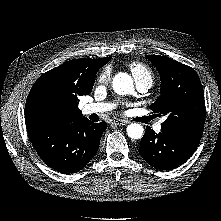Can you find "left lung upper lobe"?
Returning a JSON list of instances; mask_svg holds the SVG:
<instances>
[{
    "label": "left lung upper lobe",
    "mask_w": 221,
    "mask_h": 221,
    "mask_svg": "<svg viewBox=\"0 0 221 221\" xmlns=\"http://www.w3.org/2000/svg\"><path fill=\"white\" fill-rule=\"evenodd\" d=\"M161 76V94L150 109L167 119L161 131L200 141L205 123L203 88L193 68L166 56H146Z\"/></svg>",
    "instance_id": "obj_1"
}]
</instances>
